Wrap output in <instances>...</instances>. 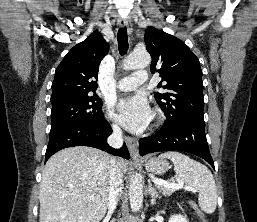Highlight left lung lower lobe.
I'll list each match as a JSON object with an SVG mask.
<instances>
[{
  "mask_svg": "<svg viewBox=\"0 0 257 222\" xmlns=\"http://www.w3.org/2000/svg\"><path fill=\"white\" fill-rule=\"evenodd\" d=\"M139 150L141 156L158 151H185L203 158L214 168L206 140L204 119L200 118L165 122L154 135L139 139Z\"/></svg>",
  "mask_w": 257,
  "mask_h": 222,
  "instance_id": "obj_1",
  "label": "left lung lower lobe"
}]
</instances>
